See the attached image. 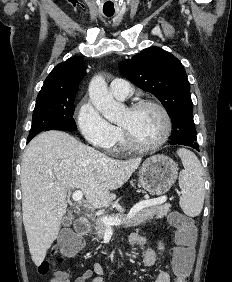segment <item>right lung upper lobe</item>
Masks as SVG:
<instances>
[{"label":"right lung upper lobe","instance_id":"right-lung-upper-lobe-1","mask_svg":"<svg viewBox=\"0 0 232 282\" xmlns=\"http://www.w3.org/2000/svg\"><path fill=\"white\" fill-rule=\"evenodd\" d=\"M86 74L82 57H71L54 67L45 79L39 94H76L80 81Z\"/></svg>","mask_w":232,"mask_h":282}]
</instances>
